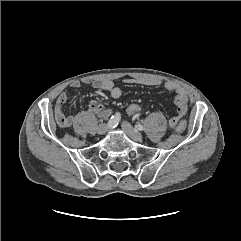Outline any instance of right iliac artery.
Listing matches in <instances>:
<instances>
[{
    "instance_id": "1",
    "label": "right iliac artery",
    "mask_w": 241,
    "mask_h": 241,
    "mask_svg": "<svg viewBox=\"0 0 241 241\" xmlns=\"http://www.w3.org/2000/svg\"><path fill=\"white\" fill-rule=\"evenodd\" d=\"M120 118V114L116 112L114 115L111 116L110 120L108 121V127H116L118 125V122L120 121Z\"/></svg>"
}]
</instances>
